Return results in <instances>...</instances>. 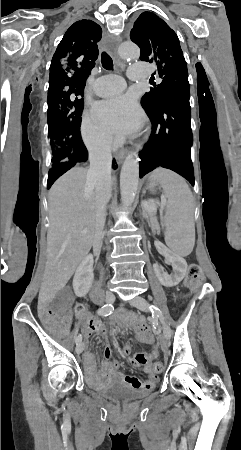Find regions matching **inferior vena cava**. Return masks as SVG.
Instances as JSON below:
<instances>
[{
  "instance_id": "602c4592",
  "label": "inferior vena cava",
  "mask_w": 241,
  "mask_h": 450,
  "mask_svg": "<svg viewBox=\"0 0 241 450\" xmlns=\"http://www.w3.org/2000/svg\"><path fill=\"white\" fill-rule=\"evenodd\" d=\"M111 140H105L100 150L89 154L85 190H95L96 226L95 240H101L106 220V206L111 198Z\"/></svg>"
}]
</instances>
